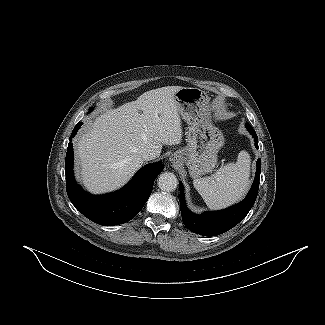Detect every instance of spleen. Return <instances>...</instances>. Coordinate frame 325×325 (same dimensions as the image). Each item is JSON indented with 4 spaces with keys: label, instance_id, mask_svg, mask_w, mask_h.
Masks as SVG:
<instances>
[{
    "label": "spleen",
    "instance_id": "spleen-1",
    "mask_svg": "<svg viewBox=\"0 0 325 325\" xmlns=\"http://www.w3.org/2000/svg\"><path fill=\"white\" fill-rule=\"evenodd\" d=\"M251 159L246 151L238 154L237 161L220 167L210 177L194 179L193 184L206 205L220 209L241 199L249 189Z\"/></svg>",
    "mask_w": 325,
    "mask_h": 325
}]
</instances>
